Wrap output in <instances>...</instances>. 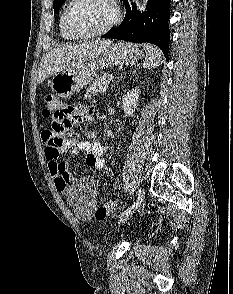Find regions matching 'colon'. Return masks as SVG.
Masks as SVG:
<instances>
[{"label": "colon", "mask_w": 233, "mask_h": 294, "mask_svg": "<svg viewBox=\"0 0 233 294\" xmlns=\"http://www.w3.org/2000/svg\"><path fill=\"white\" fill-rule=\"evenodd\" d=\"M63 106L54 94H47L44 97L42 114L45 118L52 117L53 110H61ZM116 210V201L111 199L100 205L95 211L97 220H104Z\"/></svg>", "instance_id": "colon-1"}]
</instances>
